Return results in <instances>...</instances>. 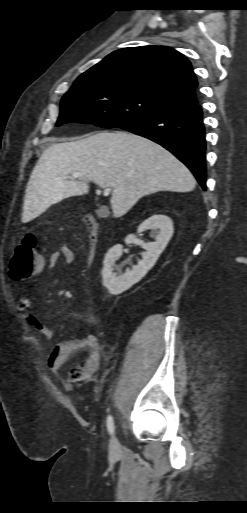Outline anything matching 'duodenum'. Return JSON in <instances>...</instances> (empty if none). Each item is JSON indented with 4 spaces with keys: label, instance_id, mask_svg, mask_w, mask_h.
Returning a JSON list of instances; mask_svg holds the SVG:
<instances>
[{
    "label": "duodenum",
    "instance_id": "obj_1",
    "mask_svg": "<svg viewBox=\"0 0 247 513\" xmlns=\"http://www.w3.org/2000/svg\"><path fill=\"white\" fill-rule=\"evenodd\" d=\"M84 225L88 235L89 257L93 261L96 257L97 251L98 223L93 216L86 215L84 218Z\"/></svg>",
    "mask_w": 247,
    "mask_h": 513
}]
</instances>
